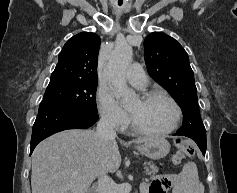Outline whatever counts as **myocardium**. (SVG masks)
Here are the masks:
<instances>
[{
	"mask_svg": "<svg viewBox=\"0 0 237 193\" xmlns=\"http://www.w3.org/2000/svg\"><path fill=\"white\" fill-rule=\"evenodd\" d=\"M155 98H164L166 100H168L172 106L174 107L175 110V119L172 123V125L164 130H160V131H150V130H146L143 129L141 127H139L133 120L131 114L129 115V120H130V125L132 127V129L141 135L144 136H149V137H160V136H166L168 134H171L172 132H174L180 125L181 119H182V110L180 105L178 104V102L168 93L166 92H162V91H152V92H147L144 93L141 97L140 100L142 102H148L150 100H153Z\"/></svg>",
	"mask_w": 237,
	"mask_h": 193,
	"instance_id": "1",
	"label": "myocardium"
}]
</instances>
